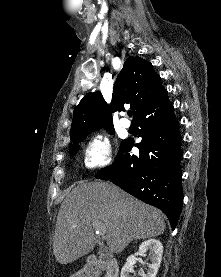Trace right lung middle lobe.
<instances>
[{
    "label": "right lung middle lobe",
    "mask_w": 221,
    "mask_h": 277,
    "mask_svg": "<svg viewBox=\"0 0 221 277\" xmlns=\"http://www.w3.org/2000/svg\"><path fill=\"white\" fill-rule=\"evenodd\" d=\"M106 128L110 134H114V130H113V126L112 125H107V126H99V127H94L88 130H84L81 131L77 134H74L71 136V140L73 141V144H69V151H70V155L74 156L78 149H79V145L78 143H81L84 141L86 135L90 134L91 132L100 129V128Z\"/></svg>",
    "instance_id": "dd1d6c3e"
}]
</instances>
